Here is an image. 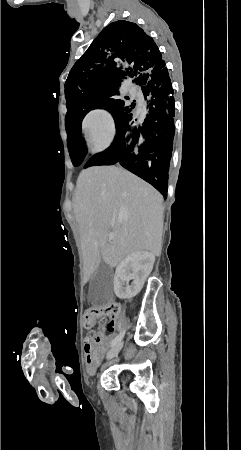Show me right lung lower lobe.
Wrapping results in <instances>:
<instances>
[{"label":"right lung lower lobe","instance_id":"98d812e1","mask_svg":"<svg viewBox=\"0 0 241 450\" xmlns=\"http://www.w3.org/2000/svg\"><path fill=\"white\" fill-rule=\"evenodd\" d=\"M140 86L147 100V116L139 126L136 119L116 126V136L111 146L91 157L84 168L96 165L121 164L155 187L167 197L168 172L175 134V102L167 68H153L144 73ZM83 117H73L66 131L70 148L77 154H87L81 137Z\"/></svg>","mask_w":241,"mask_h":450}]
</instances>
